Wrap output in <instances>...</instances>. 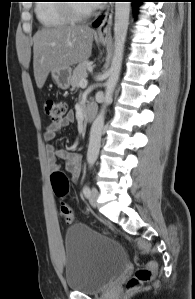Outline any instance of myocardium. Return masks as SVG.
I'll list each match as a JSON object with an SVG mask.
<instances>
[{"mask_svg": "<svg viewBox=\"0 0 195 299\" xmlns=\"http://www.w3.org/2000/svg\"><path fill=\"white\" fill-rule=\"evenodd\" d=\"M65 11L68 13L72 21L82 22L94 15V8L91 6L89 11H80L76 3H67L64 5Z\"/></svg>", "mask_w": 195, "mask_h": 299, "instance_id": "myocardium-1", "label": "myocardium"}]
</instances>
